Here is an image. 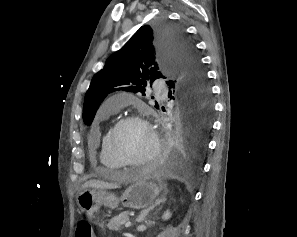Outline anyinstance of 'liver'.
I'll return each mask as SVG.
<instances>
[{
	"instance_id": "6515ba94",
	"label": "liver",
	"mask_w": 297,
	"mask_h": 237,
	"mask_svg": "<svg viewBox=\"0 0 297 237\" xmlns=\"http://www.w3.org/2000/svg\"><path fill=\"white\" fill-rule=\"evenodd\" d=\"M118 186L115 184H110L107 182L99 181V180H89L85 182L82 186L83 189L86 188H95V189H115Z\"/></svg>"
}]
</instances>
